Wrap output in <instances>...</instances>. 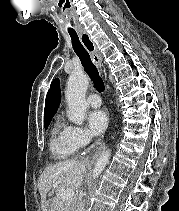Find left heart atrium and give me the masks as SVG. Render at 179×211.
<instances>
[{"label":"left heart atrium","mask_w":179,"mask_h":211,"mask_svg":"<svg viewBox=\"0 0 179 211\" xmlns=\"http://www.w3.org/2000/svg\"><path fill=\"white\" fill-rule=\"evenodd\" d=\"M87 123L91 134L98 136L107 128V115L101 110H94L87 116Z\"/></svg>","instance_id":"1"}]
</instances>
